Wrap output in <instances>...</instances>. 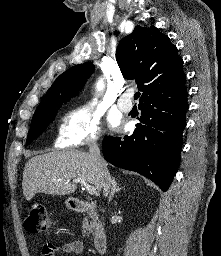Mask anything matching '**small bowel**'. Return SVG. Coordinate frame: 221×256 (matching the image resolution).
Instances as JSON below:
<instances>
[{
    "label": "small bowel",
    "instance_id": "small-bowel-1",
    "mask_svg": "<svg viewBox=\"0 0 221 256\" xmlns=\"http://www.w3.org/2000/svg\"><path fill=\"white\" fill-rule=\"evenodd\" d=\"M85 245L80 240H72L64 243L61 246H57L53 243H47L43 246L41 254L42 256H55V253L58 251L65 252L67 254H82L84 251Z\"/></svg>",
    "mask_w": 221,
    "mask_h": 256
}]
</instances>
